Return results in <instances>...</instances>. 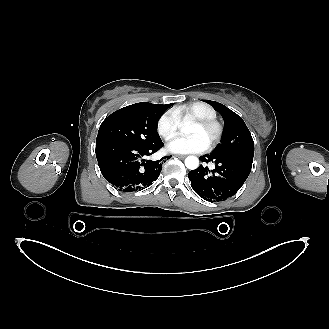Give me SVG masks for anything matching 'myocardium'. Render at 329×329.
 Here are the masks:
<instances>
[{"label":"myocardium","instance_id":"obj_1","mask_svg":"<svg viewBox=\"0 0 329 329\" xmlns=\"http://www.w3.org/2000/svg\"><path fill=\"white\" fill-rule=\"evenodd\" d=\"M193 124H196L202 128L212 129L214 131V136L208 144V149H213L220 143L224 134V127L216 118L194 119Z\"/></svg>","mask_w":329,"mask_h":329}]
</instances>
